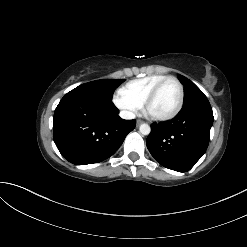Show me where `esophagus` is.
<instances>
[{"mask_svg":"<svg viewBox=\"0 0 247 247\" xmlns=\"http://www.w3.org/2000/svg\"><path fill=\"white\" fill-rule=\"evenodd\" d=\"M142 123H143V121L138 120V121H137V126L141 125Z\"/></svg>","mask_w":247,"mask_h":247,"instance_id":"34e87169","label":"esophagus"}]
</instances>
